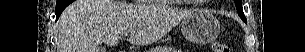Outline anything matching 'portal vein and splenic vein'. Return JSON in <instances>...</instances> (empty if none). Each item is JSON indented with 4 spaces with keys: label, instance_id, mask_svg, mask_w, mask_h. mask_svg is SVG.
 <instances>
[{
    "label": "portal vein and splenic vein",
    "instance_id": "18ae733b",
    "mask_svg": "<svg viewBox=\"0 0 305 52\" xmlns=\"http://www.w3.org/2000/svg\"><path fill=\"white\" fill-rule=\"evenodd\" d=\"M124 35H125V36H128L129 34H128V33H125Z\"/></svg>",
    "mask_w": 305,
    "mask_h": 52
}]
</instances>
